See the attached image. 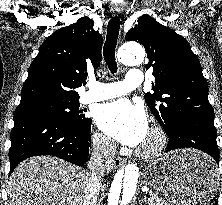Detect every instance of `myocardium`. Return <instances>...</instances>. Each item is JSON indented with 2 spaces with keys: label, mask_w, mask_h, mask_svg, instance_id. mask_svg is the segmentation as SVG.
<instances>
[{
  "label": "myocardium",
  "mask_w": 222,
  "mask_h": 205,
  "mask_svg": "<svg viewBox=\"0 0 222 205\" xmlns=\"http://www.w3.org/2000/svg\"><path fill=\"white\" fill-rule=\"evenodd\" d=\"M152 135V143L148 146H142L137 149L139 157L151 159L158 156L167 144V136L164 130L159 126H152L149 130Z\"/></svg>",
  "instance_id": "myocardium-1"
}]
</instances>
